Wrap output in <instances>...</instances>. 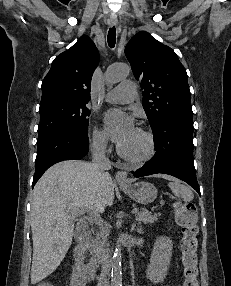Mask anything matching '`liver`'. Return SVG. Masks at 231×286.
Instances as JSON below:
<instances>
[{"label": "liver", "mask_w": 231, "mask_h": 286, "mask_svg": "<svg viewBox=\"0 0 231 286\" xmlns=\"http://www.w3.org/2000/svg\"><path fill=\"white\" fill-rule=\"evenodd\" d=\"M157 177L170 178L165 175ZM114 200V183L93 165L68 160L50 167L36 183L31 200L33 259L31 283L57 269L71 246L75 218L80 209L91 216Z\"/></svg>", "instance_id": "obj_1"}]
</instances>
